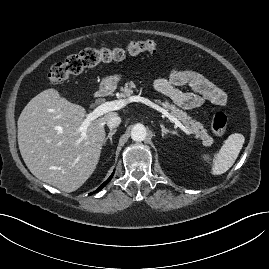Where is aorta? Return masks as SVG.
<instances>
[{
	"instance_id": "762f6f07",
	"label": "aorta",
	"mask_w": 269,
	"mask_h": 269,
	"mask_svg": "<svg viewBox=\"0 0 269 269\" xmlns=\"http://www.w3.org/2000/svg\"><path fill=\"white\" fill-rule=\"evenodd\" d=\"M147 136V130L142 124H135L131 131V138L136 142L144 141Z\"/></svg>"
}]
</instances>
